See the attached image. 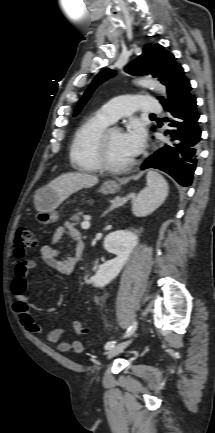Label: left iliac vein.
Instances as JSON below:
<instances>
[{
    "instance_id": "left-iliac-vein-1",
    "label": "left iliac vein",
    "mask_w": 215,
    "mask_h": 433,
    "mask_svg": "<svg viewBox=\"0 0 215 433\" xmlns=\"http://www.w3.org/2000/svg\"><path fill=\"white\" fill-rule=\"evenodd\" d=\"M136 336V334L134 335V337ZM132 342V339L126 340L124 342H121L117 345H115L114 347H112L107 354L108 359H112L113 357H115L116 355L120 354L125 348H127L129 346V344Z\"/></svg>"
}]
</instances>
